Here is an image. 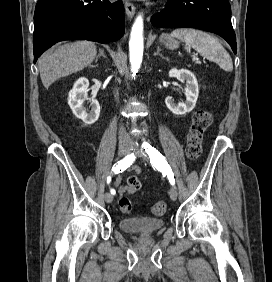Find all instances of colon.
<instances>
[{
  "label": "colon",
  "mask_w": 272,
  "mask_h": 282,
  "mask_svg": "<svg viewBox=\"0 0 272 282\" xmlns=\"http://www.w3.org/2000/svg\"><path fill=\"white\" fill-rule=\"evenodd\" d=\"M213 115L210 111L200 110L194 114L192 123L186 140V154L187 157L194 161L198 159L202 153V141L205 130L211 125ZM137 183V179L130 177L128 184ZM119 206L123 213L130 214L132 212V203L128 198H121ZM167 204L164 201H157L152 206V214L156 217L163 216L166 213Z\"/></svg>",
  "instance_id": "obj_1"
}]
</instances>
